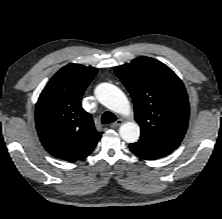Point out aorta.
Listing matches in <instances>:
<instances>
[{"mask_svg": "<svg viewBox=\"0 0 222 219\" xmlns=\"http://www.w3.org/2000/svg\"><path fill=\"white\" fill-rule=\"evenodd\" d=\"M95 96L108 109L122 115L130 114L129 101L117 86L110 83H101L95 89ZM119 134L127 143H135L140 136V127L134 121L126 122L121 125Z\"/></svg>", "mask_w": 222, "mask_h": 219, "instance_id": "762f6f07", "label": "aorta"}]
</instances>
